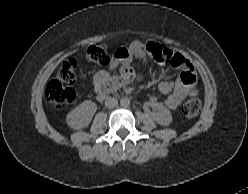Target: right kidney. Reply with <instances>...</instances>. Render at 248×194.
<instances>
[{"label": "right kidney", "mask_w": 248, "mask_h": 194, "mask_svg": "<svg viewBox=\"0 0 248 194\" xmlns=\"http://www.w3.org/2000/svg\"><path fill=\"white\" fill-rule=\"evenodd\" d=\"M96 110L97 105L90 100H86L67 114L66 123L75 130L85 128L90 124Z\"/></svg>", "instance_id": "obj_1"}]
</instances>
